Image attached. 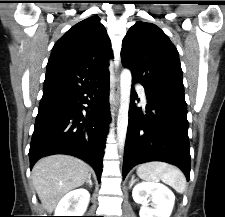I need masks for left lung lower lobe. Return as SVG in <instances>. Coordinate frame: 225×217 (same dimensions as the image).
I'll return each mask as SVG.
<instances>
[{
    "instance_id": "1",
    "label": "left lung lower lobe",
    "mask_w": 225,
    "mask_h": 217,
    "mask_svg": "<svg viewBox=\"0 0 225 217\" xmlns=\"http://www.w3.org/2000/svg\"><path fill=\"white\" fill-rule=\"evenodd\" d=\"M146 110L135 106L131 89L123 178L137 164L164 161L178 166L190 178V145L184 95L145 90Z\"/></svg>"
}]
</instances>
